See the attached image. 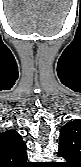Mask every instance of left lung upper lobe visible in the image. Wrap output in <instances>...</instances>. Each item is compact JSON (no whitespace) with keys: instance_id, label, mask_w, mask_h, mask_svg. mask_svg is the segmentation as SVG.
<instances>
[{"instance_id":"1","label":"left lung upper lobe","mask_w":81,"mask_h":167,"mask_svg":"<svg viewBox=\"0 0 81 167\" xmlns=\"http://www.w3.org/2000/svg\"><path fill=\"white\" fill-rule=\"evenodd\" d=\"M58 155L67 160L70 167L81 164V120H73L60 130Z\"/></svg>"}]
</instances>
